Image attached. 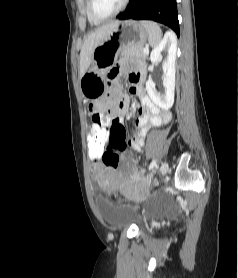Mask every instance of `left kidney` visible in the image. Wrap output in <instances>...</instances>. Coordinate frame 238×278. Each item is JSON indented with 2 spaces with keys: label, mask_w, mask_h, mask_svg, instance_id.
Returning a JSON list of instances; mask_svg holds the SVG:
<instances>
[{
  "label": "left kidney",
  "mask_w": 238,
  "mask_h": 278,
  "mask_svg": "<svg viewBox=\"0 0 238 278\" xmlns=\"http://www.w3.org/2000/svg\"><path fill=\"white\" fill-rule=\"evenodd\" d=\"M176 50V37L173 33L167 32L150 54V60L153 64L162 61V53L167 55L162 63L165 92L163 94L159 93L152 80L146 82V90L149 97L162 110H169L174 103Z\"/></svg>",
  "instance_id": "obj_1"
}]
</instances>
